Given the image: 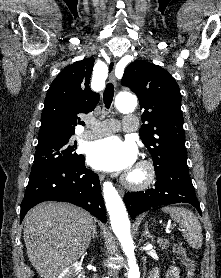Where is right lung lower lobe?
Returning <instances> with one entry per match:
<instances>
[{
  "mask_svg": "<svg viewBox=\"0 0 221 278\" xmlns=\"http://www.w3.org/2000/svg\"><path fill=\"white\" fill-rule=\"evenodd\" d=\"M48 200L73 203L106 222L99 177L85 168L84 159L78 163L53 166L29 177L20 220L33 206Z\"/></svg>",
  "mask_w": 221,
  "mask_h": 278,
  "instance_id": "98d812e1",
  "label": "right lung lower lobe"
}]
</instances>
